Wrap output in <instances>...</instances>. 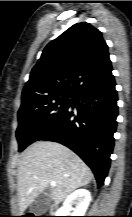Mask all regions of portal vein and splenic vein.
Returning a JSON list of instances; mask_svg holds the SVG:
<instances>
[{"instance_id":"portal-vein-and-splenic-vein-1","label":"portal vein and splenic vein","mask_w":132,"mask_h":217,"mask_svg":"<svg viewBox=\"0 0 132 217\" xmlns=\"http://www.w3.org/2000/svg\"><path fill=\"white\" fill-rule=\"evenodd\" d=\"M50 185L54 187V186H56V182L55 181H51Z\"/></svg>"}]
</instances>
